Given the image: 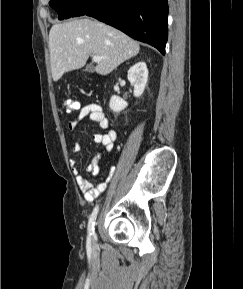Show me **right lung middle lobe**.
<instances>
[{
    "mask_svg": "<svg viewBox=\"0 0 243 289\" xmlns=\"http://www.w3.org/2000/svg\"><path fill=\"white\" fill-rule=\"evenodd\" d=\"M88 0H50V6L58 13L60 20L71 15Z\"/></svg>",
    "mask_w": 243,
    "mask_h": 289,
    "instance_id": "dd1d6c3e",
    "label": "right lung middle lobe"
}]
</instances>
